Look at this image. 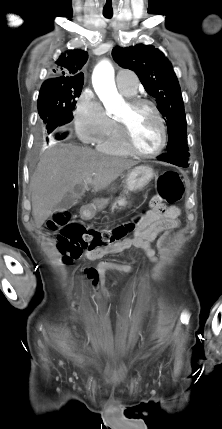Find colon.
<instances>
[{
  "instance_id": "colon-1",
  "label": "colon",
  "mask_w": 222,
  "mask_h": 429,
  "mask_svg": "<svg viewBox=\"0 0 222 429\" xmlns=\"http://www.w3.org/2000/svg\"><path fill=\"white\" fill-rule=\"evenodd\" d=\"M160 198L168 203H175L182 199L184 185L179 173L167 171L159 177ZM49 229H60L57 236V247L64 262L80 258L86 251H95L108 248L125 239L134 225L124 224L113 229L98 230L87 228L72 222L68 213L57 214L48 224Z\"/></svg>"
}]
</instances>
